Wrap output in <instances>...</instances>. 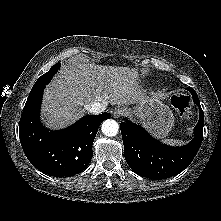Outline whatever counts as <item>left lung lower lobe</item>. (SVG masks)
Returning a JSON list of instances; mask_svg holds the SVG:
<instances>
[{
    "mask_svg": "<svg viewBox=\"0 0 221 221\" xmlns=\"http://www.w3.org/2000/svg\"><path fill=\"white\" fill-rule=\"evenodd\" d=\"M200 108L194 139L183 147H170L154 139L141 126L127 120L120 124L125 159L138 175L164 179L183 171L196 156L203 139L204 113L193 88H187Z\"/></svg>",
    "mask_w": 221,
    "mask_h": 221,
    "instance_id": "0a47b994",
    "label": "left lung lower lobe"
}]
</instances>
